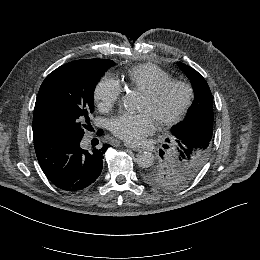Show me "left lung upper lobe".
Returning a JSON list of instances; mask_svg holds the SVG:
<instances>
[{
    "label": "left lung upper lobe",
    "mask_w": 260,
    "mask_h": 260,
    "mask_svg": "<svg viewBox=\"0 0 260 260\" xmlns=\"http://www.w3.org/2000/svg\"><path fill=\"white\" fill-rule=\"evenodd\" d=\"M190 79L194 90V101L184 121L171 129V139H166L171 149L160 150V157L143 169L142 179L150 186L165 190H177L190 183L207 162L213 144V127L207 132L197 129L195 117L201 110L213 112L210 88L205 79L193 68L178 62ZM168 149V145H163Z\"/></svg>",
    "instance_id": "5c2ea615"
}]
</instances>
